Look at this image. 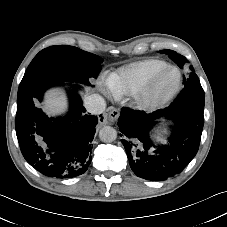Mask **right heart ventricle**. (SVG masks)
<instances>
[{"mask_svg":"<svg viewBox=\"0 0 227 227\" xmlns=\"http://www.w3.org/2000/svg\"><path fill=\"white\" fill-rule=\"evenodd\" d=\"M166 66L168 64L165 61L155 58L129 63L108 76V88L116 97L132 95Z\"/></svg>","mask_w":227,"mask_h":227,"instance_id":"e07e8e85","label":"right heart ventricle"}]
</instances>
